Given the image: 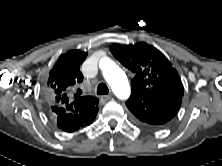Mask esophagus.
I'll list each match as a JSON object with an SVG mask.
<instances>
[{
	"instance_id": "34e87169",
	"label": "esophagus",
	"mask_w": 222,
	"mask_h": 166,
	"mask_svg": "<svg viewBox=\"0 0 222 166\" xmlns=\"http://www.w3.org/2000/svg\"><path fill=\"white\" fill-rule=\"evenodd\" d=\"M111 97H112V94H110V95H104V96H102L101 98L103 99V100H109V99H111Z\"/></svg>"
}]
</instances>
